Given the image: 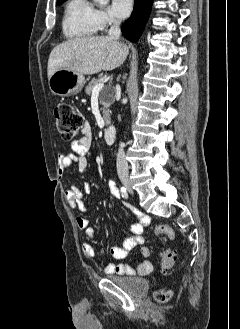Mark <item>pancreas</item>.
Wrapping results in <instances>:
<instances>
[{"instance_id":"obj_1","label":"pancreas","mask_w":240,"mask_h":329,"mask_svg":"<svg viewBox=\"0 0 240 329\" xmlns=\"http://www.w3.org/2000/svg\"><path fill=\"white\" fill-rule=\"evenodd\" d=\"M100 83L99 79H92V81L89 83V85L85 88V92L87 95H90L92 93V90L95 85ZM99 102L103 106L102 113H103V119L105 121V125H108L110 123V111L109 107L113 103L112 99H107L105 96V92H102L99 97Z\"/></svg>"}]
</instances>
